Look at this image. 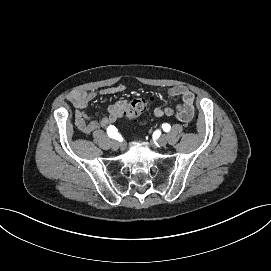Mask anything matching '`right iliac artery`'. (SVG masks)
Instances as JSON below:
<instances>
[{
  "label": "right iliac artery",
  "mask_w": 271,
  "mask_h": 271,
  "mask_svg": "<svg viewBox=\"0 0 271 271\" xmlns=\"http://www.w3.org/2000/svg\"><path fill=\"white\" fill-rule=\"evenodd\" d=\"M107 134L110 138H114L116 139L117 135H118V130L115 126L110 125L107 128Z\"/></svg>",
  "instance_id": "right-iliac-artery-1"
}]
</instances>
